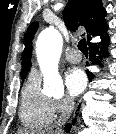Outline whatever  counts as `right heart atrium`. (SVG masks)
<instances>
[{
	"mask_svg": "<svg viewBox=\"0 0 116 134\" xmlns=\"http://www.w3.org/2000/svg\"><path fill=\"white\" fill-rule=\"evenodd\" d=\"M73 100L69 97L52 99V109L54 114H67L73 108Z\"/></svg>",
	"mask_w": 116,
	"mask_h": 134,
	"instance_id": "1",
	"label": "right heart atrium"
}]
</instances>
